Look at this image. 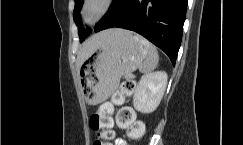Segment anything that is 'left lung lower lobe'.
<instances>
[{"label":"left lung lower lobe","mask_w":243,"mask_h":145,"mask_svg":"<svg viewBox=\"0 0 243 145\" xmlns=\"http://www.w3.org/2000/svg\"><path fill=\"white\" fill-rule=\"evenodd\" d=\"M188 0H123L94 31L118 27L135 31L162 49L175 65Z\"/></svg>","instance_id":"left-lung-lower-lobe-1"}]
</instances>
